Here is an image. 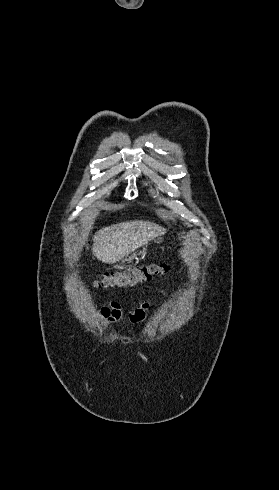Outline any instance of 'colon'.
Instances as JSON below:
<instances>
[{
    "mask_svg": "<svg viewBox=\"0 0 279 490\" xmlns=\"http://www.w3.org/2000/svg\"><path fill=\"white\" fill-rule=\"evenodd\" d=\"M170 272L166 264L148 263L122 271L107 272L96 282L99 289L128 288L153 278L157 275H165Z\"/></svg>",
    "mask_w": 279,
    "mask_h": 490,
    "instance_id": "5ec220e1",
    "label": "colon"
}]
</instances>
